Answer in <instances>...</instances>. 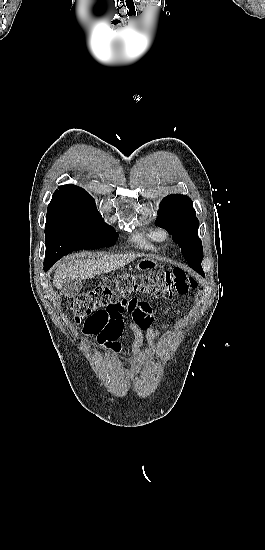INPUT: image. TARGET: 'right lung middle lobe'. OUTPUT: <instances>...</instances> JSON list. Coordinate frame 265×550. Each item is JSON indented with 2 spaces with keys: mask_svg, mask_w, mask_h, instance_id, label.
I'll list each match as a JSON object with an SVG mask.
<instances>
[{
  "mask_svg": "<svg viewBox=\"0 0 265 550\" xmlns=\"http://www.w3.org/2000/svg\"><path fill=\"white\" fill-rule=\"evenodd\" d=\"M45 261L54 264L76 250L113 246L117 233L104 223L92 197L51 203L45 225Z\"/></svg>",
  "mask_w": 265,
  "mask_h": 550,
  "instance_id": "1",
  "label": "right lung middle lobe"
}]
</instances>
